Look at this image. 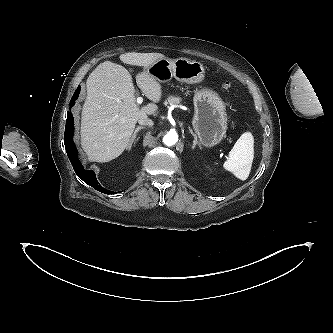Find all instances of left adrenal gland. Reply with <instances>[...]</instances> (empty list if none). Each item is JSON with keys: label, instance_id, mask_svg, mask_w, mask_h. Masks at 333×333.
Returning a JSON list of instances; mask_svg holds the SVG:
<instances>
[{"label": "left adrenal gland", "instance_id": "1", "mask_svg": "<svg viewBox=\"0 0 333 333\" xmlns=\"http://www.w3.org/2000/svg\"><path fill=\"white\" fill-rule=\"evenodd\" d=\"M189 132L192 134V136H194V141H193V146L192 148L194 149L196 147V145H198L200 147V144L197 140V136L196 134H194L193 130L189 128Z\"/></svg>", "mask_w": 333, "mask_h": 333}]
</instances>
